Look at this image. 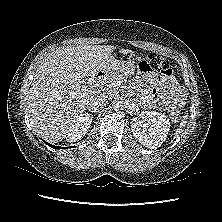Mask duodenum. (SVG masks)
<instances>
[{"instance_id":"duodenum-1","label":"duodenum","mask_w":222,"mask_h":222,"mask_svg":"<svg viewBox=\"0 0 222 222\" xmlns=\"http://www.w3.org/2000/svg\"><path fill=\"white\" fill-rule=\"evenodd\" d=\"M106 76V72L103 69L97 70L91 77V84L92 85H97L100 83L103 78Z\"/></svg>"}]
</instances>
